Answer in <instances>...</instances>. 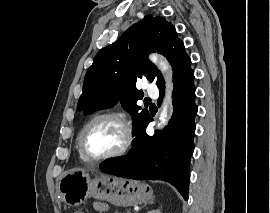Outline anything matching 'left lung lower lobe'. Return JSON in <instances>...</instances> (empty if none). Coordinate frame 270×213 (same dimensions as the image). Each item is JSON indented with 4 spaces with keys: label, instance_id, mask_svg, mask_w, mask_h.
I'll return each instance as SVG.
<instances>
[{
    "label": "left lung lower lobe",
    "instance_id": "left-lung-lower-lobe-1",
    "mask_svg": "<svg viewBox=\"0 0 270 213\" xmlns=\"http://www.w3.org/2000/svg\"><path fill=\"white\" fill-rule=\"evenodd\" d=\"M194 72L187 68L174 79L173 115L167 128L154 137L146 134L149 117L135 130L133 150L111 159L102 172L136 180H164L175 186L188 200L189 165L194 150L195 105ZM162 100L164 87L159 89Z\"/></svg>",
    "mask_w": 270,
    "mask_h": 213
}]
</instances>
